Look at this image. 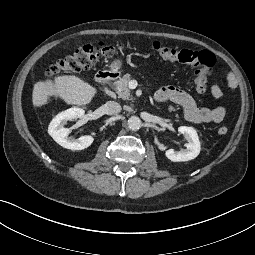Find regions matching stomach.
<instances>
[{
  "label": "stomach",
  "mask_w": 255,
  "mask_h": 255,
  "mask_svg": "<svg viewBox=\"0 0 255 255\" xmlns=\"http://www.w3.org/2000/svg\"><path fill=\"white\" fill-rule=\"evenodd\" d=\"M121 66H122L121 60L117 59L112 62V64L110 65V68L112 71H118L121 68Z\"/></svg>",
  "instance_id": "stomach-1"
}]
</instances>
